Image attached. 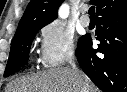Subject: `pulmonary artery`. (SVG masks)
<instances>
[{
	"label": "pulmonary artery",
	"mask_w": 127,
	"mask_h": 92,
	"mask_svg": "<svg viewBox=\"0 0 127 92\" xmlns=\"http://www.w3.org/2000/svg\"><path fill=\"white\" fill-rule=\"evenodd\" d=\"M86 11L87 9L82 10V16L80 18L81 25L85 27L90 24V18L88 17V15H86Z\"/></svg>",
	"instance_id": "e3ab8cb5"
}]
</instances>
